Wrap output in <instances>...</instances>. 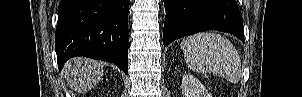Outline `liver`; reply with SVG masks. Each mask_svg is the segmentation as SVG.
Segmentation results:
<instances>
[{"mask_svg": "<svg viewBox=\"0 0 302 97\" xmlns=\"http://www.w3.org/2000/svg\"><path fill=\"white\" fill-rule=\"evenodd\" d=\"M68 84L79 94L90 91L103 76V64L88 58L70 59L63 69Z\"/></svg>", "mask_w": 302, "mask_h": 97, "instance_id": "obj_1", "label": "liver"}]
</instances>
